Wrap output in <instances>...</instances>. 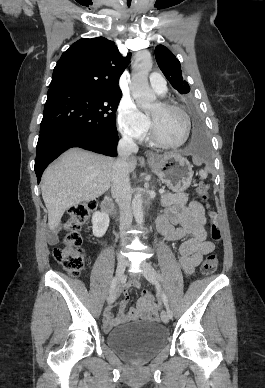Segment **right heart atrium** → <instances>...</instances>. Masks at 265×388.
I'll return each mask as SVG.
<instances>
[{
    "mask_svg": "<svg viewBox=\"0 0 265 388\" xmlns=\"http://www.w3.org/2000/svg\"><path fill=\"white\" fill-rule=\"evenodd\" d=\"M119 120L124 131L135 139H142L151 128V120L131 98H123L119 105Z\"/></svg>",
    "mask_w": 265,
    "mask_h": 388,
    "instance_id": "d8ad5b80",
    "label": "right heart atrium"
}]
</instances>
